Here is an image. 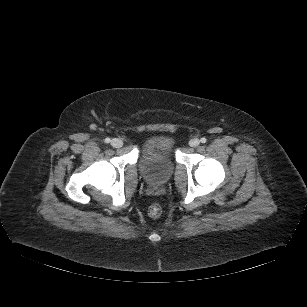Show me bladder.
<instances>
[{
  "label": "bladder",
  "instance_id": "bladder-1",
  "mask_svg": "<svg viewBox=\"0 0 307 307\" xmlns=\"http://www.w3.org/2000/svg\"><path fill=\"white\" fill-rule=\"evenodd\" d=\"M174 139L168 134L150 135L140 155V169L151 184L166 182L174 171Z\"/></svg>",
  "mask_w": 307,
  "mask_h": 307
}]
</instances>
